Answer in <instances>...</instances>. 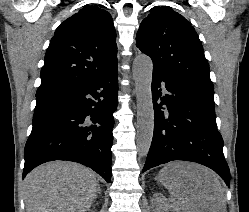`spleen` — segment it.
Listing matches in <instances>:
<instances>
[{"label":"spleen","instance_id":"1","mask_svg":"<svg viewBox=\"0 0 249 212\" xmlns=\"http://www.w3.org/2000/svg\"><path fill=\"white\" fill-rule=\"evenodd\" d=\"M163 172H164V176H161V174H163ZM159 180H160L161 184H164V186H166V188H170V186H168V182H170V180H169L167 168H163V170H161V172H159Z\"/></svg>","mask_w":249,"mask_h":212}]
</instances>
